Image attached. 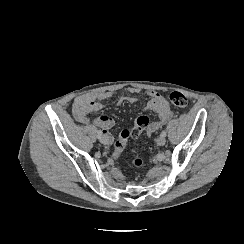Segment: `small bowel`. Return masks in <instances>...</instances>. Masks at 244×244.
Returning <instances> with one entry per match:
<instances>
[{"instance_id":"c3829d8e","label":"small bowel","mask_w":244,"mask_h":244,"mask_svg":"<svg viewBox=\"0 0 244 244\" xmlns=\"http://www.w3.org/2000/svg\"><path fill=\"white\" fill-rule=\"evenodd\" d=\"M131 93H138L137 89H130ZM147 97V109L154 111L158 119L150 120V126L146 129L147 133L153 134L162 128L174 115L166 98L156 90L148 89L144 91ZM112 97V92H99L78 96L72 104V114L74 119L81 124L94 123L104 130L111 142L113 135L111 129L114 126V120L110 115L101 114L102 101ZM129 103H135L137 98L129 96L125 98Z\"/></svg>"}]
</instances>
